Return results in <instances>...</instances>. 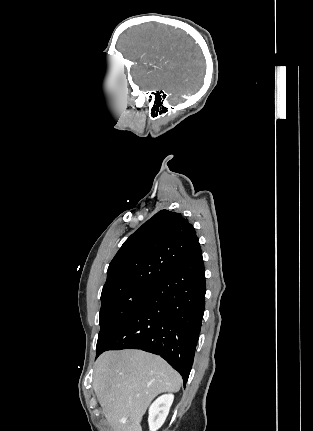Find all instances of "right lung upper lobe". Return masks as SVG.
Instances as JSON below:
<instances>
[{
  "instance_id": "cb5924a9",
  "label": "right lung upper lobe",
  "mask_w": 313,
  "mask_h": 431,
  "mask_svg": "<svg viewBox=\"0 0 313 431\" xmlns=\"http://www.w3.org/2000/svg\"><path fill=\"white\" fill-rule=\"evenodd\" d=\"M198 243L194 227L180 213L161 210L134 232L111 261L101 296L156 287Z\"/></svg>"
}]
</instances>
